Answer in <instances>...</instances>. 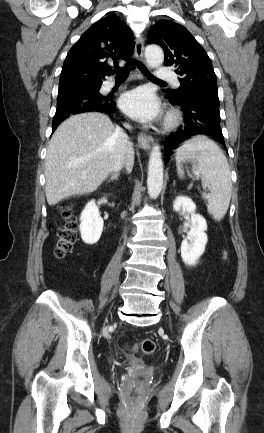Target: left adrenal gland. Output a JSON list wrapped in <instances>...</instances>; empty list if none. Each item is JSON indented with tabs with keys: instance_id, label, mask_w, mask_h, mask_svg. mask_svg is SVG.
I'll use <instances>...</instances> for the list:
<instances>
[{
	"instance_id": "obj_1",
	"label": "left adrenal gland",
	"mask_w": 264,
	"mask_h": 433,
	"mask_svg": "<svg viewBox=\"0 0 264 433\" xmlns=\"http://www.w3.org/2000/svg\"><path fill=\"white\" fill-rule=\"evenodd\" d=\"M173 186H175V181H173Z\"/></svg>"
}]
</instances>
